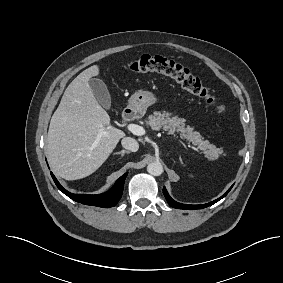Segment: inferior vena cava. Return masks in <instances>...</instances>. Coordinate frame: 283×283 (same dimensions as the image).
Instances as JSON below:
<instances>
[{
  "mask_svg": "<svg viewBox=\"0 0 283 283\" xmlns=\"http://www.w3.org/2000/svg\"><path fill=\"white\" fill-rule=\"evenodd\" d=\"M121 144L125 149L130 150L132 152H136L139 149L138 142L131 137L123 138Z\"/></svg>",
  "mask_w": 283,
  "mask_h": 283,
  "instance_id": "inferior-vena-cava-1",
  "label": "inferior vena cava"
}]
</instances>
